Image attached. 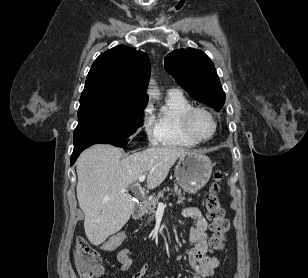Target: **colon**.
Instances as JSON below:
<instances>
[{"instance_id":"1","label":"colon","mask_w":308,"mask_h":278,"mask_svg":"<svg viewBox=\"0 0 308 278\" xmlns=\"http://www.w3.org/2000/svg\"><path fill=\"white\" fill-rule=\"evenodd\" d=\"M223 173L217 171L214 174V182L206 196L205 205L207 216L211 221V230L213 236L210 240L212 251H219L224 247L226 234L229 230V222L225 218L224 209L222 208L218 193L220 192V181ZM122 235H109L108 240H103L101 248L108 253H115L119 242H124V232ZM75 265L80 278H97L103 272V265L99 262V253L92 247L83 236L76 238L74 251Z\"/></svg>"}]
</instances>
